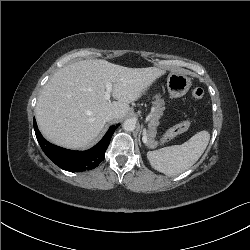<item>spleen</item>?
<instances>
[{
	"instance_id": "obj_1",
	"label": "spleen",
	"mask_w": 250,
	"mask_h": 250,
	"mask_svg": "<svg viewBox=\"0 0 250 250\" xmlns=\"http://www.w3.org/2000/svg\"><path fill=\"white\" fill-rule=\"evenodd\" d=\"M210 140L206 130L197 132L182 145L149 151L147 158L151 166L168 176L178 175L195 164L204 153Z\"/></svg>"
}]
</instances>
